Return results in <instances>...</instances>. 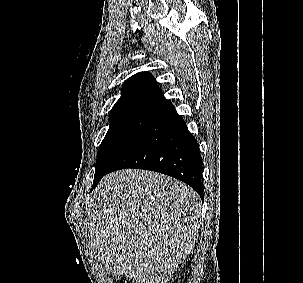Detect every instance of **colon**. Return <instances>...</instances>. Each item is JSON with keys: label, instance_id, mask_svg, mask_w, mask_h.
Wrapping results in <instances>:
<instances>
[{"label": "colon", "instance_id": "5ec220e1", "mask_svg": "<svg viewBox=\"0 0 303 283\" xmlns=\"http://www.w3.org/2000/svg\"><path fill=\"white\" fill-rule=\"evenodd\" d=\"M116 283H134V282L124 277H117Z\"/></svg>", "mask_w": 303, "mask_h": 283}]
</instances>
